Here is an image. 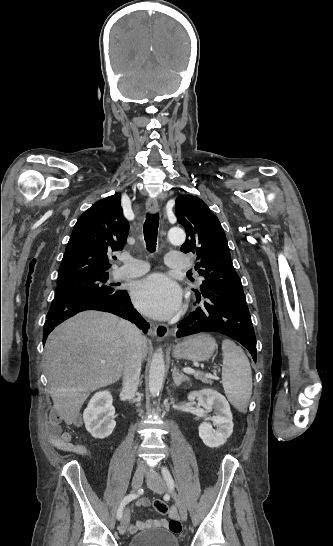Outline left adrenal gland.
I'll use <instances>...</instances> for the list:
<instances>
[{
    "instance_id": "a2214340",
    "label": "left adrenal gland",
    "mask_w": 333,
    "mask_h": 546,
    "mask_svg": "<svg viewBox=\"0 0 333 546\" xmlns=\"http://www.w3.org/2000/svg\"><path fill=\"white\" fill-rule=\"evenodd\" d=\"M172 377H173L174 384L177 387H179L182 384V382L189 381V378L185 376L183 373H179L176 367H174L172 370Z\"/></svg>"
}]
</instances>
